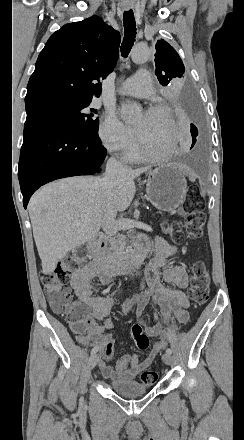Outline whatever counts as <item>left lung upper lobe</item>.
Wrapping results in <instances>:
<instances>
[{
	"instance_id": "1",
	"label": "left lung upper lobe",
	"mask_w": 244,
	"mask_h": 440,
	"mask_svg": "<svg viewBox=\"0 0 244 440\" xmlns=\"http://www.w3.org/2000/svg\"><path fill=\"white\" fill-rule=\"evenodd\" d=\"M155 74L163 86L185 76V67L178 53L163 39L155 46Z\"/></svg>"
}]
</instances>
